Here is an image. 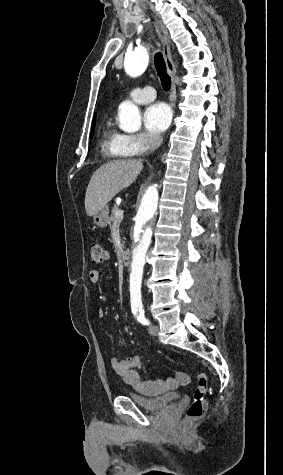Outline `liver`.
<instances>
[{
    "label": "liver",
    "mask_w": 283,
    "mask_h": 475,
    "mask_svg": "<svg viewBox=\"0 0 283 475\" xmlns=\"http://www.w3.org/2000/svg\"><path fill=\"white\" fill-rule=\"evenodd\" d=\"M143 170L142 160H113L94 172L86 190L87 216L98 214L112 198L128 188Z\"/></svg>",
    "instance_id": "liver-1"
}]
</instances>
